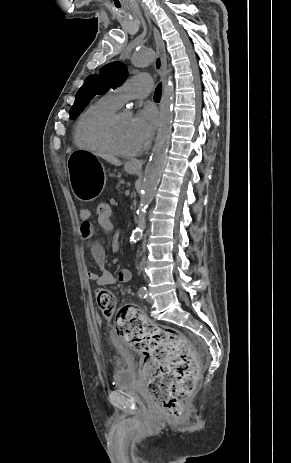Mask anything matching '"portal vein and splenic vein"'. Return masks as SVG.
Here are the masks:
<instances>
[{"label":"portal vein and splenic vein","instance_id":"18ae733b","mask_svg":"<svg viewBox=\"0 0 291 463\" xmlns=\"http://www.w3.org/2000/svg\"><path fill=\"white\" fill-rule=\"evenodd\" d=\"M129 194H130V190L127 189V190L125 191V195H129Z\"/></svg>","mask_w":291,"mask_h":463}]
</instances>
